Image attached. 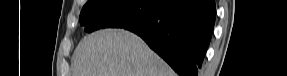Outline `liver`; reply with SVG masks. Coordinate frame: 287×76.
Masks as SVG:
<instances>
[{
    "label": "liver",
    "instance_id": "liver-1",
    "mask_svg": "<svg viewBox=\"0 0 287 76\" xmlns=\"http://www.w3.org/2000/svg\"><path fill=\"white\" fill-rule=\"evenodd\" d=\"M72 76H176L137 35L104 29L85 36L72 56Z\"/></svg>",
    "mask_w": 287,
    "mask_h": 76
}]
</instances>
